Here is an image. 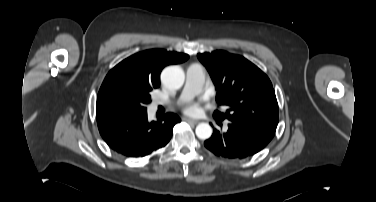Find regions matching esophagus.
<instances>
[{"instance_id": "obj_1", "label": "esophagus", "mask_w": 376, "mask_h": 202, "mask_svg": "<svg viewBox=\"0 0 376 202\" xmlns=\"http://www.w3.org/2000/svg\"><path fill=\"white\" fill-rule=\"evenodd\" d=\"M183 120H185L187 122L194 123V124H197L199 122L198 120L192 119V118H189V117H184Z\"/></svg>"}]
</instances>
